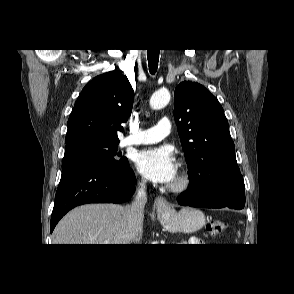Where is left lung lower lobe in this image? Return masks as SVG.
Instances as JSON below:
<instances>
[{
  "mask_svg": "<svg viewBox=\"0 0 294 294\" xmlns=\"http://www.w3.org/2000/svg\"><path fill=\"white\" fill-rule=\"evenodd\" d=\"M180 205L191 207L242 209L245 206V186L241 174L212 175L202 187L190 184L177 197Z\"/></svg>",
  "mask_w": 294,
  "mask_h": 294,
  "instance_id": "left-lung-lower-lobe-1",
  "label": "left lung lower lobe"
}]
</instances>
